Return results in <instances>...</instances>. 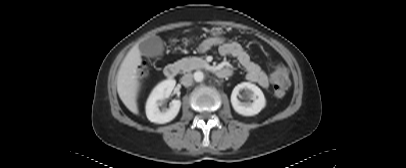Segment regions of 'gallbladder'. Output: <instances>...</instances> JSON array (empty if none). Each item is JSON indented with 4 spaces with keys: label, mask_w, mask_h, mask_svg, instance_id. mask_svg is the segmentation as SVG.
Returning a JSON list of instances; mask_svg holds the SVG:
<instances>
[{
    "label": "gallbladder",
    "mask_w": 406,
    "mask_h": 168,
    "mask_svg": "<svg viewBox=\"0 0 406 168\" xmlns=\"http://www.w3.org/2000/svg\"><path fill=\"white\" fill-rule=\"evenodd\" d=\"M140 53L147 57H157L163 54L164 45L159 36L153 35L139 44Z\"/></svg>",
    "instance_id": "1"
}]
</instances>
